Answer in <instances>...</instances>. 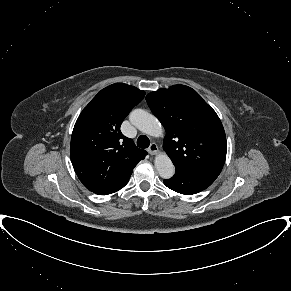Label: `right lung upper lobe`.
<instances>
[{
    "label": "right lung upper lobe",
    "mask_w": 291,
    "mask_h": 291,
    "mask_svg": "<svg viewBox=\"0 0 291 291\" xmlns=\"http://www.w3.org/2000/svg\"><path fill=\"white\" fill-rule=\"evenodd\" d=\"M145 92L112 84L97 93L79 115L71 137L73 168L90 191L108 195L124 187L137 163L147 155L125 137L120 126Z\"/></svg>",
    "instance_id": "1"
}]
</instances>
